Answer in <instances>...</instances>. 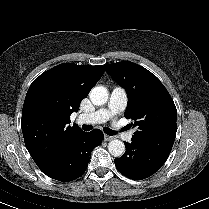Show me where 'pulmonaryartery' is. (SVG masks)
Returning <instances> with one entry per match:
<instances>
[{
  "label": "pulmonary artery",
  "instance_id": "obj_1",
  "mask_svg": "<svg viewBox=\"0 0 209 209\" xmlns=\"http://www.w3.org/2000/svg\"><path fill=\"white\" fill-rule=\"evenodd\" d=\"M127 105L126 91L121 87H115L109 98V103L106 108L99 109L91 114L84 116V122L86 123H103L110 119H113L115 115L125 109ZM121 137L126 141H131L133 137L132 132H121Z\"/></svg>",
  "mask_w": 209,
  "mask_h": 209
}]
</instances>
